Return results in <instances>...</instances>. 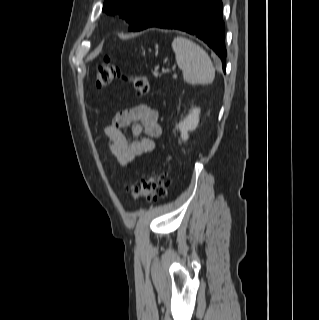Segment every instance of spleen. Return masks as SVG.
Instances as JSON below:
<instances>
[{"instance_id":"1","label":"spleen","mask_w":319,"mask_h":320,"mask_svg":"<svg viewBox=\"0 0 319 320\" xmlns=\"http://www.w3.org/2000/svg\"><path fill=\"white\" fill-rule=\"evenodd\" d=\"M176 63L189 84H209L215 78V69L208 54L196 43L184 37L172 41Z\"/></svg>"}]
</instances>
